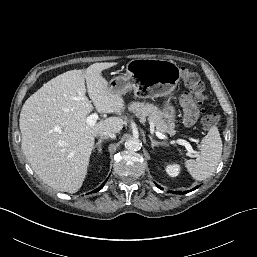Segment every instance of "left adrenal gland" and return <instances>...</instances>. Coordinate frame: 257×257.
<instances>
[{
  "instance_id": "left-adrenal-gland-1",
  "label": "left adrenal gland",
  "mask_w": 257,
  "mask_h": 257,
  "mask_svg": "<svg viewBox=\"0 0 257 257\" xmlns=\"http://www.w3.org/2000/svg\"><path fill=\"white\" fill-rule=\"evenodd\" d=\"M149 139L151 141V146L153 149H154V147H158L159 145L165 144L164 142H158V141L154 140L151 135H149Z\"/></svg>"
}]
</instances>
